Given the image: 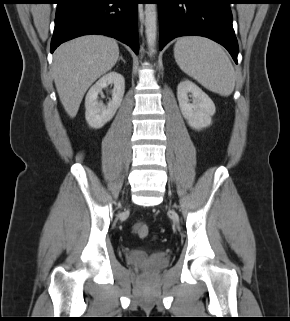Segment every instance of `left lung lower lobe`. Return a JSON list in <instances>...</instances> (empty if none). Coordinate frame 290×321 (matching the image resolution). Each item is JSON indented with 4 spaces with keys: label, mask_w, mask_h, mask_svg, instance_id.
<instances>
[{
    "label": "left lung lower lobe",
    "mask_w": 290,
    "mask_h": 321,
    "mask_svg": "<svg viewBox=\"0 0 290 321\" xmlns=\"http://www.w3.org/2000/svg\"><path fill=\"white\" fill-rule=\"evenodd\" d=\"M155 3L159 5L160 50L176 37L204 36L223 45L237 63L231 0H157Z\"/></svg>",
    "instance_id": "left-lung-lower-lobe-1"
}]
</instances>
